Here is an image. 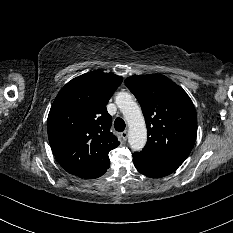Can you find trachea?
Listing matches in <instances>:
<instances>
[{
	"label": "trachea",
	"instance_id": "1",
	"mask_svg": "<svg viewBox=\"0 0 233 233\" xmlns=\"http://www.w3.org/2000/svg\"><path fill=\"white\" fill-rule=\"evenodd\" d=\"M125 121L122 118H116L114 121V128L118 132H122L125 129Z\"/></svg>",
	"mask_w": 233,
	"mask_h": 233
}]
</instances>
